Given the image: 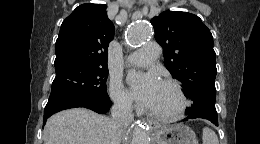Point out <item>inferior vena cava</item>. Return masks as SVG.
<instances>
[{
  "label": "inferior vena cava",
  "mask_w": 260,
  "mask_h": 144,
  "mask_svg": "<svg viewBox=\"0 0 260 144\" xmlns=\"http://www.w3.org/2000/svg\"><path fill=\"white\" fill-rule=\"evenodd\" d=\"M112 126L118 134L132 123L134 116L132 113V102L125 98H117L111 108Z\"/></svg>",
  "instance_id": "inferior-vena-cava-1"
}]
</instances>
